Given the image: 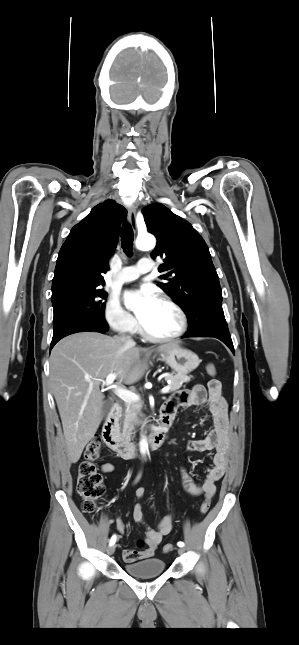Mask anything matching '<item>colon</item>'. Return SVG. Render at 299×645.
<instances>
[{
    "label": "colon",
    "instance_id": "colon-1",
    "mask_svg": "<svg viewBox=\"0 0 299 645\" xmlns=\"http://www.w3.org/2000/svg\"><path fill=\"white\" fill-rule=\"evenodd\" d=\"M207 372L211 376L216 375V369L212 363L206 365ZM208 387L211 390L221 388V383L217 379H212ZM100 440L93 438L88 442L83 453V461L79 465L76 490L83 498L82 510L87 514H94L97 510V502L102 498L105 488L102 482V476L98 472L95 460L100 454ZM210 507V501L205 500L200 508L202 514H206ZM174 550L172 544H166L163 552L168 553Z\"/></svg>",
    "mask_w": 299,
    "mask_h": 645
}]
</instances>
